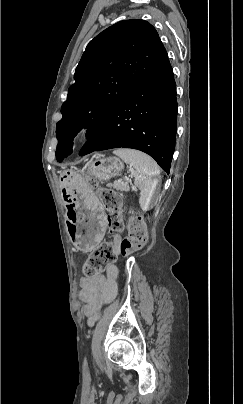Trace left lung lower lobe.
I'll return each instance as SVG.
<instances>
[{"label":"left lung lower lobe","instance_id":"0a47b994","mask_svg":"<svg viewBox=\"0 0 243 404\" xmlns=\"http://www.w3.org/2000/svg\"><path fill=\"white\" fill-rule=\"evenodd\" d=\"M176 130V84L167 59L107 113L79 155L111 148L138 149L169 174Z\"/></svg>","mask_w":243,"mask_h":404}]
</instances>
